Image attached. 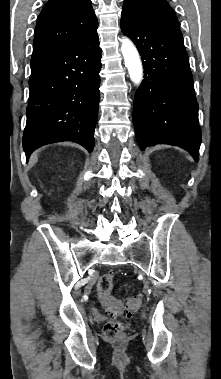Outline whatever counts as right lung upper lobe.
<instances>
[{"label":"right lung upper lobe","mask_w":221,"mask_h":379,"mask_svg":"<svg viewBox=\"0 0 221 379\" xmlns=\"http://www.w3.org/2000/svg\"><path fill=\"white\" fill-rule=\"evenodd\" d=\"M96 26L91 0H49L37 19L32 58L75 43Z\"/></svg>","instance_id":"1"}]
</instances>
